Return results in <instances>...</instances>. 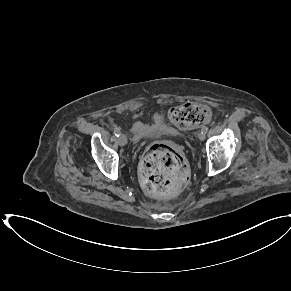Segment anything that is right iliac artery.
I'll use <instances>...</instances> for the list:
<instances>
[{
    "label": "right iliac artery",
    "instance_id": "obj_1",
    "mask_svg": "<svg viewBox=\"0 0 291 291\" xmlns=\"http://www.w3.org/2000/svg\"><path fill=\"white\" fill-rule=\"evenodd\" d=\"M114 134H115V136L119 137L121 134L120 128H118V127L114 128Z\"/></svg>",
    "mask_w": 291,
    "mask_h": 291
}]
</instances>
